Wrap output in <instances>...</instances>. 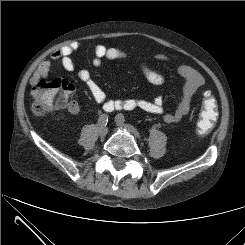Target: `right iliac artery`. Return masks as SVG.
Here are the masks:
<instances>
[{
    "instance_id": "82829eb1",
    "label": "right iliac artery",
    "mask_w": 245,
    "mask_h": 245,
    "mask_svg": "<svg viewBox=\"0 0 245 245\" xmlns=\"http://www.w3.org/2000/svg\"><path fill=\"white\" fill-rule=\"evenodd\" d=\"M98 123H99V125H104V126H106L107 123H108V116H107V114H102V115L99 117V119H98Z\"/></svg>"
}]
</instances>
